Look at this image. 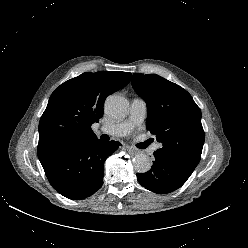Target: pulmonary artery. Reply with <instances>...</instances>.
<instances>
[{"instance_id": "e3ab8cb5", "label": "pulmonary artery", "mask_w": 248, "mask_h": 248, "mask_svg": "<svg viewBox=\"0 0 248 248\" xmlns=\"http://www.w3.org/2000/svg\"><path fill=\"white\" fill-rule=\"evenodd\" d=\"M146 113V102L141 98H133L131 101L130 115L128 119L106 123L102 125L97 132L115 137L125 136L130 133L135 126L144 121ZM156 148H158V145H155L154 149Z\"/></svg>"}]
</instances>
